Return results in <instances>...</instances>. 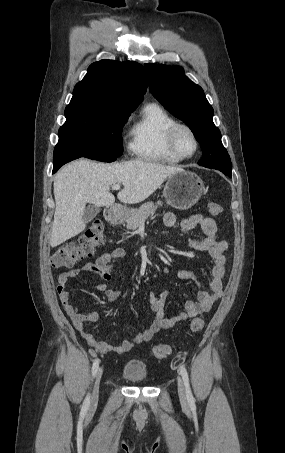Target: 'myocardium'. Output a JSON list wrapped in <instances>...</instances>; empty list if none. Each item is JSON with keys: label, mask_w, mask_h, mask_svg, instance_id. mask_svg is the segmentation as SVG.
<instances>
[{"label": "myocardium", "mask_w": 285, "mask_h": 453, "mask_svg": "<svg viewBox=\"0 0 285 453\" xmlns=\"http://www.w3.org/2000/svg\"><path fill=\"white\" fill-rule=\"evenodd\" d=\"M181 130L187 131L194 141L195 147L191 154L182 153L177 146V135ZM167 143H168V147L172 151V153H174L176 156H178L181 159L191 158L192 156H194L196 154V152L198 151V148H199V140H198L197 135L195 134L194 130L190 126L183 124V123H176L169 129L168 134H167Z\"/></svg>", "instance_id": "1"}]
</instances>
